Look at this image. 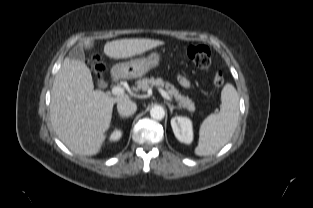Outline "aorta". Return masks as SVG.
<instances>
[{
	"instance_id": "762f6f07",
	"label": "aorta",
	"mask_w": 313,
	"mask_h": 208,
	"mask_svg": "<svg viewBox=\"0 0 313 208\" xmlns=\"http://www.w3.org/2000/svg\"><path fill=\"white\" fill-rule=\"evenodd\" d=\"M150 116L155 120H162L165 116V110L162 106L155 105L150 110Z\"/></svg>"
}]
</instances>
